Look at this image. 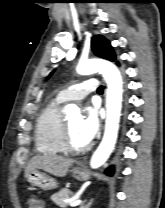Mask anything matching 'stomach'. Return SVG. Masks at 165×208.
<instances>
[{
    "mask_svg": "<svg viewBox=\"0 0 165 208\" xmlns=\"http://www.w3.org/2000/svg\"><path fill=\"white\" fill-rule=\"evenodd\" d=\"M71 173L77 180L82 181L87 179L86 172L80 168H73L71 170ZM25 177L32 186L39 187L40 189L45 191L52 190L57 186L53 178L38 170H31L30 172L25 174Z\"/></svg>",
    "mask_w": 165,
    "mask_h": 208,
    "instance_id": "0dacf381",
    "label": "stomach"
}]
</instances>
